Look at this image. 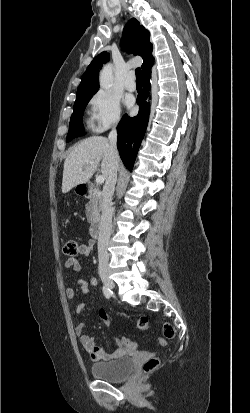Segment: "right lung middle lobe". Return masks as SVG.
Here are the masks:
<instances>
[{"label": "right lung middle lobe", "mask_w": 250, "mask_h": 413, "mask_svg": "<svg viewBox=\"0 0 250 413\" xmlns=\"http://www.w3.org/2000/svg\"><path fill=\"white\" fill-rule=\"evenodd\" d=\"M95 92L80 95L76 97L73 113L70 119L69 131L67 134L66 142L71 141L75 137L82 136L85 134L84 126L82 122L84 108L91 99Z\"/></svg>", "instance_id": "right-lung-middle-lobe-1"}]
</instances>
